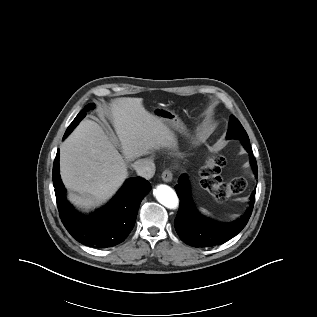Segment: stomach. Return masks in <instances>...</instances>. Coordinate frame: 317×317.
I'll return each mask as SVG.
<instances>
[{"label":"stomach","instance_id":"obj_1","mask_svg":"<svg viewBox=\"0 0 317 317\" xmlns=\"http://www.w3.org/2000/svg\"><path fill=\"white\" fill-rule=\"evenodd\" d=\"M153 114L157 116L163 123L175 128L181 132L185 131V127L181 122L178 115H176L173 111L163 108V107H156L153 111Z\"/></svg>","mask_w":317,"mask_h":317}]
</instances>
